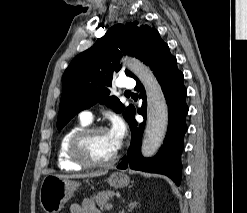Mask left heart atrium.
<instances>
[{
	"mask_svg": "<svg viewBox=\"0 0 247 213\" xmlns=\"http://www.w3.org/2000/svg\"><path fill=\"white\" fill-rule=\"evenodd\" d=\"M109 134L112 138L115 148L119 149L123 143V139L126 134L124 123L120 119H114L112 122V126L109 129Z\"/></svg>",
	"mask_w": 247,
	"mask_h": 213,
	"instance_id": "left-heart-atrium-1",
	"label": "left heart atrium"
}]
</instances>
